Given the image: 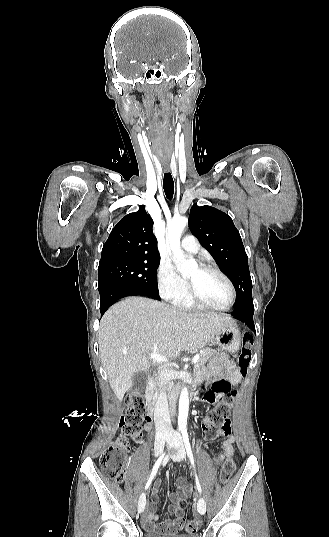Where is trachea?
<instances>
[{"mask_svg": "<svg viewBox=\"0 0 329 537\" xmlns=\"http://www.w3.org/2000/svg\"><path fill=\"white\" fill-rule=\"evenodd\" d=\"M163 187L166 197L171 200L174 194V181L170 172L164 173Z\"/></svg>", "mask_w": 329, "mask_h": 537, "instance_id": "obj_1", "label": "trachea"}]
</instances>
